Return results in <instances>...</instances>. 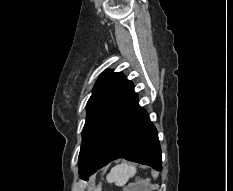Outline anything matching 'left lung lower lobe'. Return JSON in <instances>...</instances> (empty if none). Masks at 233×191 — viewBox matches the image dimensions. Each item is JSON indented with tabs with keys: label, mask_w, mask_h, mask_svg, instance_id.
<instances>
[{
	"label": "left lung lower lobe",
	"mask_w": 233,
	"mask_h": 191,
	"mask_svg": "<svg viewBox=\"0 0 233 191\" xmlns=\"http://www.w3.org/2000/svg\"><path fill=\"white\" fill-rule=\"evenodd\" d=\"M118 158L149 165L156 170L162 167L157 130L147 112L139 106L135 92L95 142L79 169L80 177L87 180L90 174Z\"/></svg>",
	"instance_id": "obj_1"
}]
</instances>
